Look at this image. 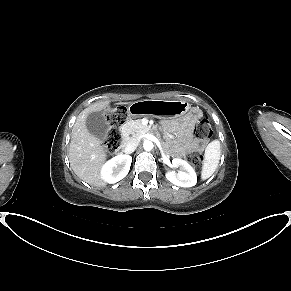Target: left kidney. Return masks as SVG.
<instances>
[{
    "instance_id": "5707ae66",
    "label": "left kidney",
    "mask_w": 291,
    "mask_h": 291,
    "mask_svg": "<svg viewBox=\"0 0 291 291\" xmlns=\"http://www.w3.org/2000/svg\"><path fill=\"white\" fill-rule=\"evenodd\" d=\"M172 166L179 168V171H168L166 173L167 180L179 187H192L196 185V172L187 161L175 158L172 160Z\"/></svg>"
}]
</instances>
